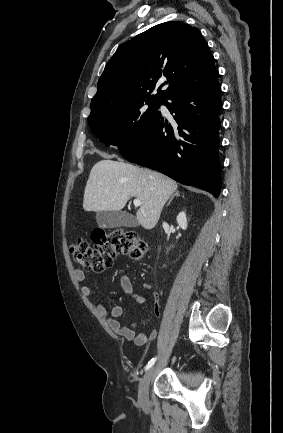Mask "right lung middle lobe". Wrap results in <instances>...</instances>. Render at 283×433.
I'll list each match as a JSON object with an SVG mask.
<instances>
[{
	"label": "right lung middle lobe",
	"mask_w": 283,
	"mask_h": 433,
	"mask_svg": "<svg viewBox=\"0 0 283 433\" xmlns=\"http://www.w3.org/2000/svg\"><path fill=\"white\" fill-rule=\"evenodd\" d=\"M162 101L139 100L99 111L88 117L93 133L120 153L132 146L158 113ZM148 105V107H146Z\"/></svg>",
	"instance_id": "right-lung-middle-lobe-1"
}]
</instances>
